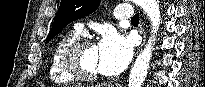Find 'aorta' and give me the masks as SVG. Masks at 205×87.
Masks as SVG:
<instances>
[{
    "label": "aorta",
    "mask_w": 205,
    "mask_h": 87,
    "mask_svg": "<svg viewBox=\"0 0 205 87\" xmlns=\"http://www.w3.org/2000/svg\"><path fill=\"white\" fill-rule=\"evenodd\" d=\"M135 2L145 11L151 22V37L147 45L138 55L129 75L128 87H141L145 81L150 65L152 49L155 35L158 32L161 15L158 0H135Z\"/></svg>",
    "instance_id": "1"
}]
</instances>
